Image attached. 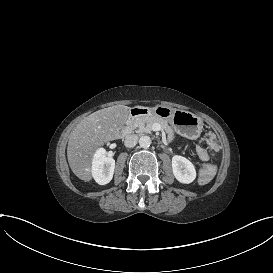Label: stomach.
Listing matches in <instances>:
<instances>
[{
  "instance_id": "1",
  "label": "stomach",
  "mask_w": 273,
  "mask_h": 273,
  "mask_svg": "<svg viewBox=\"0 0 273 273\" xmlns=\"http://www.w3.org/2000/svg\"><path fill=\"white\" fill-rule=\"evenodd\" d=\"M148 114L160 117L169 122L173 129L181 136L195 140L200 137L203 130V120L195 114L157 105L148 108Z\"/></svg>"
}]
</instances>
